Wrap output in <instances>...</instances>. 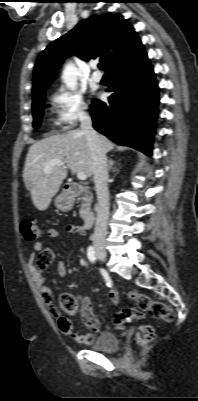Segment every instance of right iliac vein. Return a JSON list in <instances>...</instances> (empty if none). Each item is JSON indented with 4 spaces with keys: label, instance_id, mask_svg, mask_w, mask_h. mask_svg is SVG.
<instances>
[{
    "label": "right iliac vein",
    "instance_id": "63e3f726",
    "mask_svg": "<svg viewBox=\"0 0 198 401\" xmlns=\"http://www.w3.org/2000/svg\"><path fill=\"white\" fill-rule=\"evenodd\" d=\"M96 254L100 260H102L103 262L106 261L107 255L102 246H96Z\"/></svg>",
    "mask_w": 198,
    "mask_h": 401
}]
</instances>
